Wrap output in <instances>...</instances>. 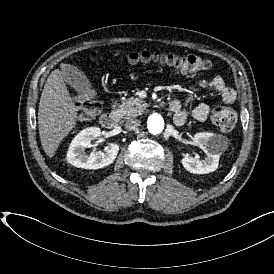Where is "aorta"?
Masks as SVG:
<instances>
[{
  "label": "aorta",
  "instance_id": "1",
  "mask_svg": "<svg viewBox=\"0 0 274 274\" xmlns=\"http://www.w3.org/2000/svg\"><path fill=\"white\" fill-rule=\"evenodd\" d=\"M164 127H165V121L163 117L161 116V114L159 113L150 114L147 120V128L151 134L157 135L162 133Z\"/></svg>",
  "mask_w": 274,
  "mask_h": 274
}]
</instances>
